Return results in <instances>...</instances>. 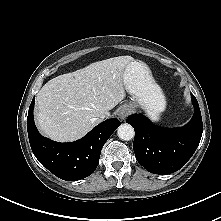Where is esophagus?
<instances>
[{"label": "esophagus", "instance_id": "esophagus-1", "mask_svg": "<svg viewBox=\"0 0 221 221\" xmlns=\"http://www.w3.org/2000/svg\"><path fill=\"white\" fill-rule=\"evenodd\" d=\"M132 109L130 106H122L117 110V117L121 120H125L128 115H130Z\"/></svg>", "mask_w": 221, "mask_h": 221}]
</instances>
